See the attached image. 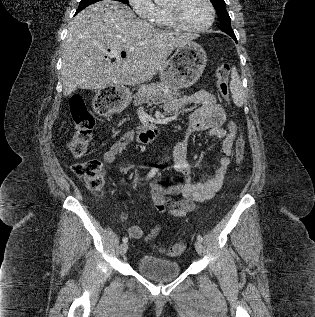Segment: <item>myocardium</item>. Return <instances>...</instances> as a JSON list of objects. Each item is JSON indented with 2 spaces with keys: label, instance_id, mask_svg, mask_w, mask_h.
Here are the masks:
<instances>
[{
  "label": "myocardium",
  "instance_id": "1",
  "mask_svg": "<svg viewBox=\"0 0 315 317\" xmlns=\"http://www.w3.org/2000/svg\"><path fill=\"white\" fill-rule=\"evenodd\" d=\"M204 1L207 4L209 9V19L207 23L200 27H191V26L185 25L178 16L177 8L181 0H172V3L170 5H166L164 7L167 19L169 23L171 24V26L182 31L195 32V33L204 32L208 30L214 23L216 12L211 0H204Z\"/></svg>",
  "mask_w": 315,
  "mask_h": 317
}]
</instances>
